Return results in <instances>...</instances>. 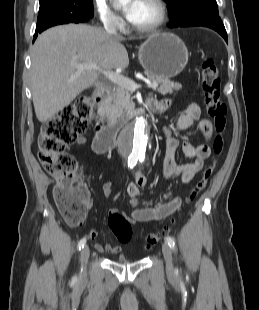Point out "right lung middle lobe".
<instances>
[{"label":"right lung middle lobe","mask_w":259,"mask_h":310,"mask_svg":"<svg viewBox=\"0 0 259 310\" xmlns=\"http://www.w3.org/2000/svg\"><path fill=\"white\" fill-rule=\"evenodd\" d=\"M36 30L53 21L83 22L93 15L92 0H39Z\"/></svg>","instance_id":"1"}]
</instances>
